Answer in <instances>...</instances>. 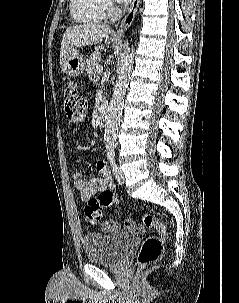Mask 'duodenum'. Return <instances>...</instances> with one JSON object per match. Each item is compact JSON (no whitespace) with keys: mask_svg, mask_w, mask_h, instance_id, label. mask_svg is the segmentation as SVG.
I'll return each instance as SVG.
<instances>
[{"mask_svg":"<svg viewBox=\"0 0 239 303\" xmlns=\"http://www.w3.org/2000/svg\"><path fill=\"white\" fill-rule=\"evenodd\" d=\"M97 120H98V124L100 126H104L105 125V121H106V111L105 110H101L97 116Z\"/></svg>","mask_w":239,"mask_h":303,"instance_id":"obj_1","label":"duodenum"}]
</instances>
